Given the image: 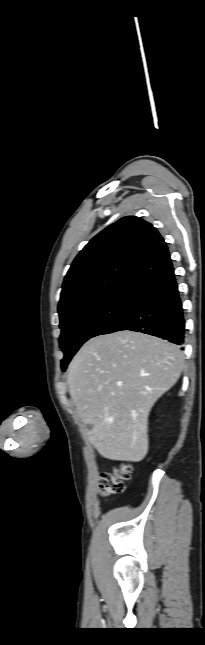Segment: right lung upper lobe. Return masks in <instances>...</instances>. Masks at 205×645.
<instances>
[{
	"mask_svg": "<svg viewBox=\"0 0 205 645\" xmlns=\"http://www.w3.org/2000/svg\"><path fill=\"white\" fill-rule=\"evenodd\" d=\"M172 267L168 247L150 223L127 216L96 235L65 276L58 311L120 285L143 286Z\"/></svg>",
	"mask_w": 205,
	"mask_h": 645,
	"instance_id": "right-lung-upper-lobe-1",
	"label": "right lung upper lobe"
}]
</instances>
